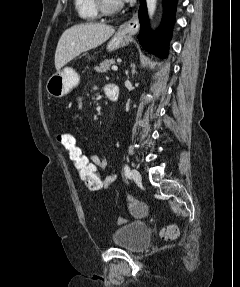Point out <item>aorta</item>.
Listing matches in <instances>:
<instances>
[{
    "label": "aorta",
    "mask_w": 240,
    "mask_h": 287,
    "mask_svg": "<svg viewBox=\"0 0 240 287\" xmlns=\"http://www.w3.org/2000/svg\"><path fill=\"white\" fill-rule=\"evenodd\" d=\"M146 5H147V10H148V15L150 18H152L156 10L157 0H146Z\"/></svg>",
    "instance_id": "762f6f07"
}]
</instances>
